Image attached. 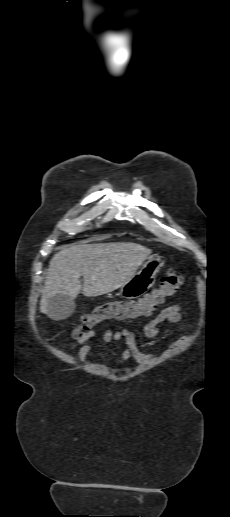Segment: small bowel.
<instances>
[{
	"instance_id": "c3829d8e",
	"label": "small bowel",
	"mask_w": 230,
	"mask_h": 517,
	"mask_svg": "<svg viewBox=\"0 0 230 517\" xmlns=\"http://www.w3.org/2000/svg\"><path fill=\"white\" fill-rule=\"evenodd\" d=\"M184 321L181 307L179 305H171L162 309L151 320H149L143 327V332L148 338H156L162 333L161 325L179 324ZM91 339H98L103 343H117L123 341L125 349L122 353L121 360L133 359L138 363H144L152 358L151 354H145L138 348L136 337L133 331L122 329L119 331L107 330L102 337H98L95 333L89 332L81 336L70 346V350H75L79 347L80 358H86L93 348L86 344ZM188 339L187 335H182L172 340L168 349H174Z\"/></svg>"
}]
</instances>
